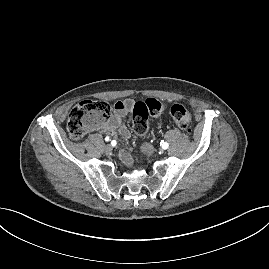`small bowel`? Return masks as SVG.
Segmentation results:
<instances>
[{"label":"small bowel","mask_w":269,"mask_h":269,"mask_svg":"<svg viewBox=\"0 0 269 269\" xmlns=\"http://www.w3.org/2000/svg\"><path fill=\"white\" fill-rule=\"evenodd\" d=\"M133 106L134 100L132 99L115 102L113 105V114L106 121L102 129L110 133L117 131L122 138L128 139L131 134L124 123V119L126 114L133 109ZM119 158L126 166L130 167L132 165L131 155L127 151L121 150L119 152Z\"/></svg>","instance_id":"small-bowel-1"}]
</instances>
